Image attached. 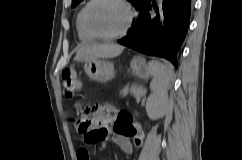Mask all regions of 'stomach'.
<instances>
[{"mask_svg": "<svg viewBox=\"0 0 242 160\" xmlns=\"http://www.w3.org/2000/svg\"><path fill=\"white\" fill-rule=\"evenodd\" d=\"M131 69L132 73L141 79H145L149 76L148 66L145 59L142 57H135L132 59ZM84 70L91 80L101 83L108 82L115 74L113 64L103 59L85 61Z\"/></svg>", "mask_w": 242, "mask_h": 160, "instance_id": "stomach-1", "label": "stomach"}]
</instances>
